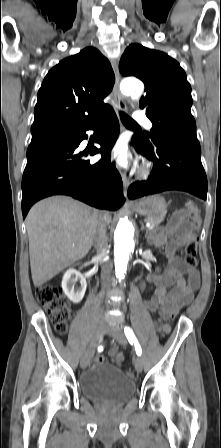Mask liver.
<instances>
[{
    "mask_svg": "<svg viewBox=\"0 0 221 448\" xmlns=\"http://www.w3.org/2000/svg\"><path fill=\"white\" fill-rule=\"evenodd\" d=\"M100 212L66 196H54L36 203L26 217L32 281L42 286L59 272L85 257L91 249Z\"/></svg>",
    "mask_w": 221,
    "mask_h": 448,
    "instance_id": "1",
    "label": "liver"
}]
</instances>
